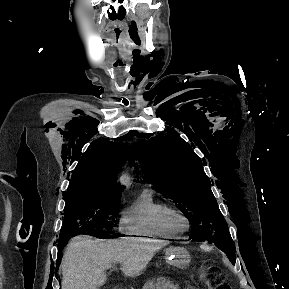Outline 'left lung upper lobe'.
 Here are the masks:
<instances>
[{"mask_svg": "<svg viewBox=\"0 0 289 289\" xmlns=\"http://www.w3.org/2000/svg\"><path fill=\"white\" fill-rule=\"evenodd\" d=\"M141 159L145 182L158 186L190 219V239L213 242L235 263L234 243L227 223L202 162L191 146L176 133L160 134L143 141Z\"/></svg>", "mask_w": 289, "mask_h": 289, "instance_id": "left-lung-upper-lobe-1", "label": "left lung upper lobe"}]
</instances>
